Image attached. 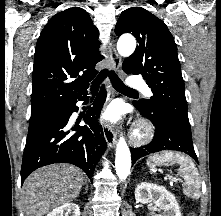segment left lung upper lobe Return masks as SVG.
Here are the masks:
<instances>
[{
  "label": "left lung upper lobe",
  "mask_w": 221,
  "mask_h": 216,
  "mask_svg": "<svg viewBox=\"0 0 221 216\" xmlns=\"http://www.w3.org/2000/svg\"><path fill=\"white\" fill-rule=\"evenodd\" d=\"M115 33H131L138 41L123 70L141 74L151 88L153 96L137 102L140 108L190 127L177 47L166 24L147 10L133 7L121 13Z\"/></svg>",
  "instance_id": "5c2ea615"
}]
</instances>
